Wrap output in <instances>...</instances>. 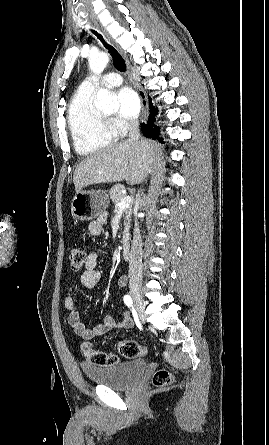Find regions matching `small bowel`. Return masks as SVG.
Here are the masks:
<instances>
[{
    "instance_id": "c3829d8e",
    "label": "small bowel",
    "mask_w": 269,
    "mask_h": 445,
    "mask_svg": "<svg viewBox=\"0 0 269 445\" xmlns=\"http://www.w3.org/2000/svg\"><path fill=\"white\" fill-rule=\"evenodd\" d=\"M107 218V215L103 214L95 221H92L88 227L90 234L99 235L102 232V228L106 223ZM100 254L99 251H95L87 255L82 274L79 279L72 282L63 300L67 312L68 324L78 336L85 340H91L94 337L103 335L113 329H127L133 324L129 313L125 310L122 312L120 320H115L114 318L107 316L101 324L92 328H88L80 317L76 306L74 291L77 288L93 289L99 284L102 277V271L98 268ZM127 284L128 279L126 276L122 275L117 279L118 287L124 288Z\"/></svg>"
}]
</instances>
